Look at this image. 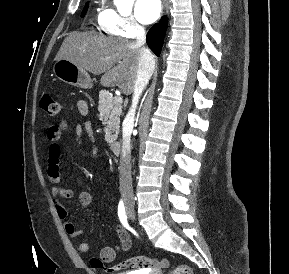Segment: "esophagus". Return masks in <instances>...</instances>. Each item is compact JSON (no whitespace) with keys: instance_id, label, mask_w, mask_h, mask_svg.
Segmentation results:
<instances>
[{"instance_id":"34e87169","label":"esophagus","mask_w":289,"mask_h":274,"mask_svg":"<svg viewBox=\"0 0 289 274\" xmlns=\"http://www.w3.org/2000/svg\"><path fill=\"white\" fill-rule=\"evenodd\" d=\"M164 5H165V7L167 6V0H164Z\"/></svg>"}]
</instances>
